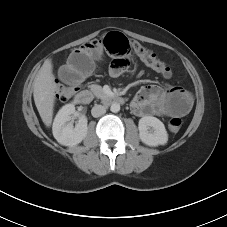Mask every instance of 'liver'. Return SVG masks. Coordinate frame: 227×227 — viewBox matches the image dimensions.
Returning <instances> with one entry per match:
<instances>
[{
	"instance_id": "obj_1",
	"label": "liver",
	"mask_w": 227,
	"mask_h": 227,
	"mask_svg": "<svg viewBox=\"0 0 227 227\" xmlns=\"http://www.w3.org/2000/svg\"><path fill=\"white\" fill-rule=\"evenodd\" d=\"M52 69L51 60H46L34 80L33 90L35 105L47 127L51 126L52 123L55 93L57 91Z\"/></svg>"
}]
</instances>
